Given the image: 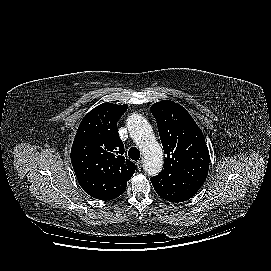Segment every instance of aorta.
<instances>
[{
	"instance_id": "aorta-1",
	"label": "aorta",
	"mask_w": 271,
	"mask_h": 271,
	"mask_svg": "<svg viewBox=\"0 0 271 271\" xmlns=\"http://www.w3.org/2000/svg\"><path fill=\"white\" fill-rule=\"evenodd\" d=\"M127 127L130 137L142 150L145 172L150 176L157 175L163 167V150L151 125L143 116L132 114L127 119Z\"/></svg>"
}]
</instances>
